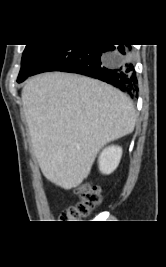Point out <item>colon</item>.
<instances>
[{"label":"colon","instance_id":"5ec220e1","mask_svg":"<svg viewBox=\"0 0 166 267\" xmlns=\"http://www.w3.org/2000/svg\"><path fill=\"white\" fill-rule=\"evenodd\" d=\"M78 192L80 200L63 211L62 222H79L80 219L88 217L102 202L100 189L95 185L83 184Z\"/></svg>","mask_w":166,"mask_h":267}]
</instances>
